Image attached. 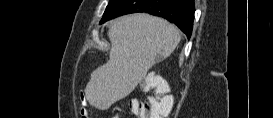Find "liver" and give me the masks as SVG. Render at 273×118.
Segmentation results:
<instances>
[{
	"label": "liver",
	"mask_w": 273,
	"mask_h": 118,
	"mask_svg": "<svg viewBox=\"0 0 273 118\" xmlns=\"http://www.w3.org/2000/svg\"><path fill=\"white\" fill-rule=\"evenodd\" d=\"M109 60L92 72L85 93L100 110L128 96L157 61L168 58L180 42L178 28L146 13L116 19L108 31Z\"/></svg>",
	"instance_id": "liver-1"
}]
</instances>
